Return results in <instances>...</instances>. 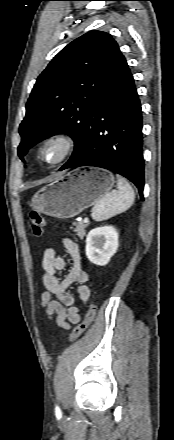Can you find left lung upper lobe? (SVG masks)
<instances>
[{
	"mask_svg": "<svg viewBox=\"0 0 174 440\" xmlns=\"http://www.w3.org/2000/svg\"><path fill=\"white\" fill-rule=\"evenodd\" d=\"M122 54L111 35L89 31L62 49L38 77L19 127L18 155L58 133L75 141L70 158L84 144L88 115Z\"/></svg>",
	"mask_w": 174,
	"mask_h": 440,
	"instance_id": "obj_1",
	"label": "left lung upper lobe"
}]
</instances>
